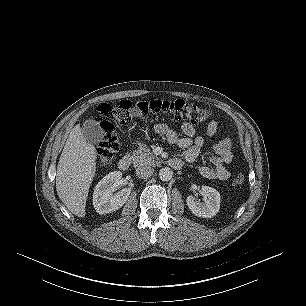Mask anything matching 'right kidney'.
Returning a JSON list of instances; mask_svg holds the SVG:
<instances>
[{"label": "right kidney", "instance_id": "1", "mask_svg": "<svg viewBox=\"0 0 306 306\" xmlns=\"http://www.w3.org/2000/svg\"><path fill=\"white\" fill-rule=\"evenodd\" d=\"M122 177V172L114 171L103 177L95 186L93 205L97 213L107 214L121 208L127 201L131 189L124 188L113 194L115 187Z\"/></svg>", "mask_w": 306, "mask_h": 306}]
</instances>
